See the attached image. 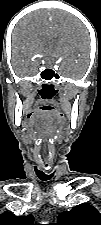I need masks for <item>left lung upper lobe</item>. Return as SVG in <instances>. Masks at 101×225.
I'll use <instances>...</instances> for the list:
<instances>
[{
	"label": "left lung upper lobe",
	"instance_id": "obj_1",
	"mask_svg": "<svg viewBox=\"0 0 101 225\" xmlns=\"http://www.w3.org/2000/svg\"><path fill=\"white\" fill-rule=\"evenodd\" d=\"M56 225H101V215L90 204H80L58 216Z\"/></svg>",
	"mask_w": 101,
	"mask_h": 225
}]
</instances>
